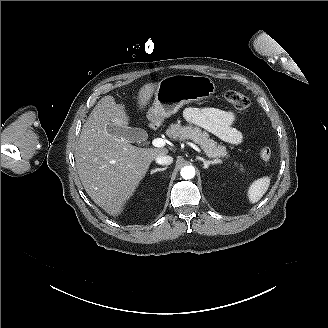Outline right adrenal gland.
Masks as SVG:
<instances>
[{
	"mask_svg": "<svg viewBox=\"0 0 328 328\" xmlns=\"http://www.w3.org/2000/svg\"><path fill=\"white\" fill-rule=\"evenodd\" d=\"M166 169H167V167H164V168H157V169L153 170L151 174H154V173H156V172L165 171Z\"/></svg>",
	"mask_w": 328,
	"mask_h": 328,
	"instance_id": "obj_1",
	"label": "right adrenal gland"
}]
</instances>
